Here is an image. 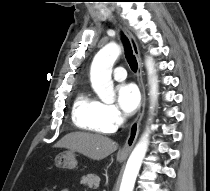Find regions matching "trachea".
I'll return each mask as SVG.
<instances>
[{"mask_svg":"<svg viewBox=\"0 0 210 191\" xmlns=\"http://www.w3.org/2000/svg\"><path fill=\"white\" fill-rule=\"evenodd\" d=\"M122 41L124 43L125 55H126L128 63H129V66L132 71L136 72L137 68H138V64H137L136 58L133 55L130 42H129L128 38L124 35L122 36Z\"/></svg>","mask_w":210,"mask_h":191,"instance_id":"trachea-1","label":"trachea"}]
</instances>
